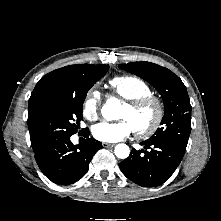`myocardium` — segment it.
I'll return each instance as SVG.
<instances>
[{"label":"myocardium","instance_id":"myocardium-1","mask_svg":"<svg viewBox=\"0 0 221 221\" xmlns=\"http://www.w3.org/2000/svg\"><path fill=\"white\" fill-rule=\"evenodd\" d=\"M125 106L134 113L140 112L148 107L154 110L153 119L146 127L134 129L139 138H148L159 129L165 112L164 104L159 97L149 94L136 100L128 101L125 103Z\"/></svg>","mask_w":221,"mask_h":221}]
</instances>
